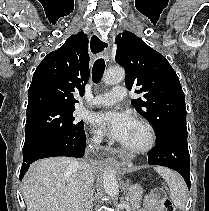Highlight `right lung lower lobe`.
<instances>
[{"label": "right lung lower lobe", "instance_id": "1", "mask_svg": "<svg viewBox=\"0 0 209 211\" xmlns=\"http://www.w3.org/2000/svg\"><path fill=\"white\" fill-rule=\"evenodd\" d=\"M85 141V132H83L77 137L55 139L36 147L27 154L23 155V164L21 167L19 179L22 180L25 172L29 168V164L38 159L54 156H69L76 158L83 157Z\"/></svg>", "mask_w": 209, "mask_h": 211}]
</instances>
